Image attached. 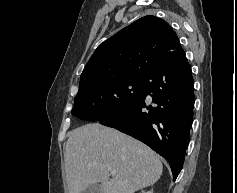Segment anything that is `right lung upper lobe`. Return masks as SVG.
Here are the masks:
<instances>
[{"instance_id":"obj_1","label":"right lung upper lobe","mask_w":237,"mask_h":193,"mask_svg":"<svg viewBox=\"0 0 237 193\" xmlns=\"http://www.w3.org/2000/svg\"><path fill=\"white\" fill-rule=\"evenodd\" d=\"M182 47L171 26L148 15L98 46L86 64L79 89L105 80L145 77Z\"/></svg>"}]
</instances>
